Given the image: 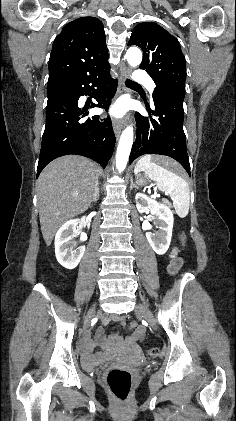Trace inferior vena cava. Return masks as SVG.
Listing matches in <instances>:
<instances>
[{"label":"inferior vena cava","instance_id":"obj_1","mask_svg":"<svg viewBox=\"0 0 236 421\" xmlns=\"http://www.w3.org/2000/svg\"><path fill=\"white\" fill-rule=\"evenodd\" d=\"M95 192H96V194H97V192H98V188H96Z\"/></svg>","mask_w":236,"mask_h":421}]
</instances>
